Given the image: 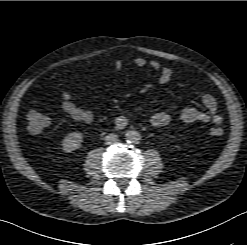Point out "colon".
<instances>
[{"label": "colon", "instance_id": "obj_1", "mask_svg": "<svg viewBox=\"0 0 247 245\" xmlns=\"http://www.w3.org/2000/svg\"><path fill=\"white\" fill-rule=\"evenodd\" d=\"M28 130L33 134L42 132L48 125L49 119L38 110H31L27 114ZM211 134L219 136L223 134V128L215 126L211 128Z\"/></svg>", "mask_w": 247, "mask_h": 245}]
</instances>
